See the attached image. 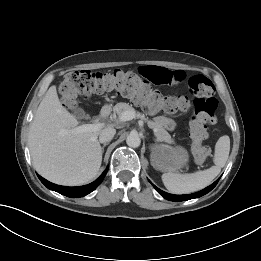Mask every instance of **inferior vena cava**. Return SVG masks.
Here are the masks:
<instances>
[{"label": "inferior vena cava", "mask_w": 261, "mask_h": 261, "mask_svg": "<svg viewBox=\"0 0 261 261\" xmlns=\"http://www.w3.org/2000/svg\"><path fill=\"white\" fill-rule=\"evenodd\" d=\"M116 134V130L112 127H107L101 130L99 134V141L100 143H108L110 142L114 135Z\"/></svg>", "instance_id": "1"}]
</instances>
